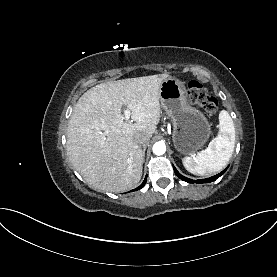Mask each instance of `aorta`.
<instances>
[{
	"label": "aorta",
	"instance_id": "aorta-1",
	"mask_svg": "<svg viewBox=\"0 0 277 277\" xmlns=\"http://www.w3.org/2000/svg\"><path fill=\"white\" fill-rule=\"evenodd\" d=\"M166 152V146L163 142H156L153 145V153L155 155H163Z\"/></svg>",
	"mask_w": 277,
	"mask_h": 277
}]
</instances>
